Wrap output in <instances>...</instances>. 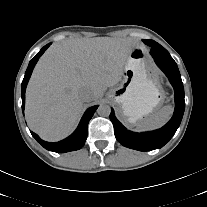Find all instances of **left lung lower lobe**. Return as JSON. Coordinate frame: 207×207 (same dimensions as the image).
<instances>
[{
	"mask_svg": "<svg viewBox=\"0 0 207 207\" xmlns=\"http://www.w3.org/2000/svg\"><path fill=\"white\" fill-rule=\"evenodd\" d=\"M150 53L174 88L175 110L173 117L165 126L158 130L135 133L127 130L116 119L113 109H111L110 114V120L113 123L115 137L118 142L125 147L139 151H151L163 147L175 134L185 110L184 88L176 62L163 47L152 48Z\"/></svg>",
	"mask_w": 207,
	"mask_h": 207,
	"instance_id": "left-lung-lower-lobe-1",
	"label": "left lung lower lobe"
}]
</instances>
